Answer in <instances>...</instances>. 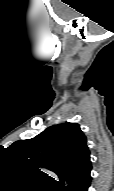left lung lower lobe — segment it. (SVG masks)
<instances>
[{"instance_id":"0a47b994","label":"left lung lower lobe","mask_w":114,"mask_h":191,"mask_svg":"<svg viewBox=\"0 0 114 191\" xmlns=\"http://www.w3.org/2000/svg\"><path fill=\"white\" fill-rule=\"evenodd\" d=\"M90 158L68 179V186H61V191H88L91 183Z\"/></svg>"}]
</instances>
